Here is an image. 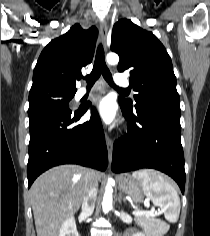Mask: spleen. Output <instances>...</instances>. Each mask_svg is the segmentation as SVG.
<instances>
[{
  "mask_svg": "<svg viewBox=\"0 0 210 236\" xmlns=\"http://www.w3.org/2000/svg\"><path fill=\"white\" fill-rule=\"evenodd\" d=\"M141 180L142 188L155 206L164 211V216L170 223H175L180 214V198L173 185L161 173L146 169L132 174Z\"/></svg>",
  "mask_w": 210,
  "mask_h": 236,
  "instance_id": "spleen-1",
  "label": "spleen"
}]
</instances>
